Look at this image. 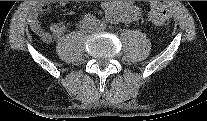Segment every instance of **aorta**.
Segmentation results:
<instances>
[{
	"instance_id": "aorta-1",
	"label": "aorta",
	"mask_w": 207,
	"mask_h": 121,
	"mask_svg": "<svg viewBox=\"0 0 207 121\" xmlns=\"http://www.w3.org/2000/svg\"><path fill=\"white\" fill-rule=\"evenodd\" d=\"M118 17H119V20L122 21L126 18V13L119 12Z\"/></svg>"
}]
</instances>
